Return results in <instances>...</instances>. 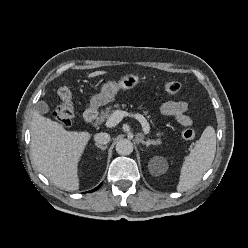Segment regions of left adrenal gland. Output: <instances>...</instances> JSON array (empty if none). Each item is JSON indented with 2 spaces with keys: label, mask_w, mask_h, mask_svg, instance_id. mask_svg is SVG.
<instances>
[{
  "label": "left adrenal gland",
  "mask_w": 248,
  "mask_h": 248,
  "mask_svg": "<svg viewBox=\"0 0 248 248\" xmlns=\"http://www.w3.org/2000/svg\"><path fill=\"white\" fill-rule=\"evenodd\" d=\"M141 143L143 145H146L147 147H149L150 145H156L158 143V141H156V140H147V141L141 140Z\"/></svg>",
  "instance_id": "left-adrenal-gland-1"
}]
</instances>
